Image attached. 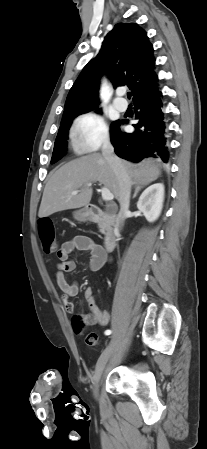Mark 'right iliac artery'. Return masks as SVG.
<instances>
[{"label":"right iliac artery","mask_w":207,"mask_h":449,"mask_svg":"<svg viewBox=\"0 0 207 449\" xmlns=\"http://www.w3.org/2000/svg\"><path fill=\"white\" fill-rule=\"evenodd\" d=\"M111 334V330H106L105 331V335H110Z\"/></svg>","instance_id":"82829eb1"}]
</instances>
